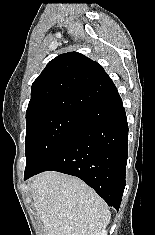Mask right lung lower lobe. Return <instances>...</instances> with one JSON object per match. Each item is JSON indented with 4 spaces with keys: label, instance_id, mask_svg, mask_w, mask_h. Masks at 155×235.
Segmentation results:
<instances>
[{
    "label": "right lung lower lobe",
    "instance_id": "1",
    "mask_svg": "<svg viewBox=\"0 0 155 235\" xmlns=\"http://www.w3.org/2000/svg\"><path fill=\"white\" fill-rule=\"evenodd\" d=\"M85 94L98 118L78 130L40 168L25 173L24 179L48 170L70 174L118 210L127 164L126 113L112 81L96 84Z\"/></svg>",
    "mask_w": 155,
    "mask_h": 235
}]
</instances>
